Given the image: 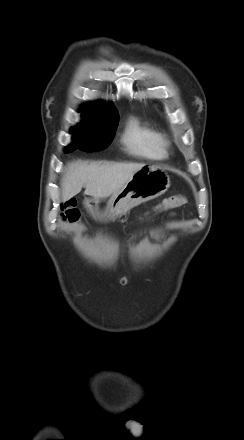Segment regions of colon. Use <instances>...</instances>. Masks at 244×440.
<instances>
[{
    "mask_svg": "<svg viewBox=\"0 0 244 440\" xmlns=\"http://www.w3.org/2000/svg\"><path fill=\"white\" fill-rule=\"evenodd\" d=\"M186 202V199L182 195H173L164 199L159 205L155 206L152 210L148 211L142 218V222H149L160 213L179 207ZM80 213L77 208L75 200L65 201L61 205V218L66 222H77L79 220Z\"/></svg>",
    "mask_w": 244,
    "mask_h": 440,
    "instance_id": "colon-1",
    "label": "colon"
}]
</instances>
